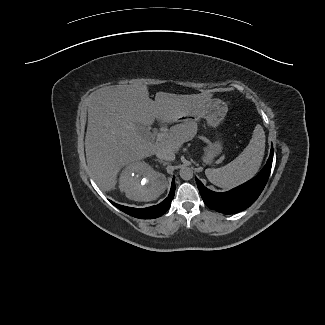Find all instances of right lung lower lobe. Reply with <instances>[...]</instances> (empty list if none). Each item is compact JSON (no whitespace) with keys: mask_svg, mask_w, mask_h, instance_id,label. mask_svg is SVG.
Wrapping results in <instances>:
<instances>
[{"mask_svg":"<svg viewBox=\"0 0 325 325\" xmlns=\"http://www.w3.org/2000/svg\"><path fill=\"white\" fill-rule=\"evenodd\" d=\"M174 193H175V182L173 178L168 197L158 205H154L147 208H132V207L116 204L112 201L111 203L121 211L133 217L140 218V219H153L163 215L169 209L171 205V201L174 197Z\"/></svg>","mask_w":325,"mask_h":325,"instance_id":"right-lung-lower-lobe-1","label":"right lung lower lobe"}]
</instances>
